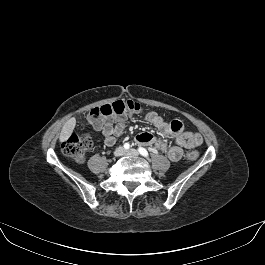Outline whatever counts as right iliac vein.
Returning a JSON list of instances; mask_svg holds the SVG:
<instances>
[{"label": "right iliac vein", "instance_id": "1", "mask_svg": "<svg viewBox=\"0 0 265 265\" xmlns=\"http://www.w3.org/2000/svg\"><path fill=\"white\" fill-rule=\"evenodd\" d=\"M125 154V149L123 147H118L116 148V150L114 151V155L116 157H120L123 156Z\"/></svg>", "mask_w": 265, "mask_h": 265}]
</instances>
